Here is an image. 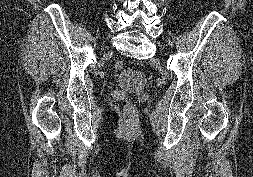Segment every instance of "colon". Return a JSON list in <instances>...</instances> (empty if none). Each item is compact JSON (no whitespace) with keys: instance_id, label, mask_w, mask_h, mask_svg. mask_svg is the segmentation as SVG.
<instances>
[{"instance_id":"obj_1","label":"colon","mask_w":253,"mask_h":177,"mask_svg":"<svg viewBox=\"0 0 253 177\" xmlns=\"http://www.w3.org/2000/svg\"><path fill=\"white\" fill-rule=\"evenodd\" d=\"M114 67L116 70H122L124 68V63L122 61H116ZM127 109L132 110V104L130 101L127 103Z\"/></svg>"}]
</instances>
